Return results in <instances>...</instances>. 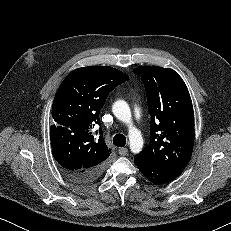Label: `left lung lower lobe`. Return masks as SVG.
<instances>
[{
  "label": "left lung lower lobe",
  "mask_w": 231,
  "mask_h": 231,
  "mask_svg": "<svg viewBox=\"0 0 231 231\" xmlns=\"http://www.w3.org/2000/svg\"><path fill=\"white\" fill-rule=\"evenodd\" d=\"M134 162L141 173L154 184L168 183L181 174V172L178 171L162 169L138 154L135 155Z\"/></svg>",
  "instance_id": "0a47b994"
}]
</instances>
